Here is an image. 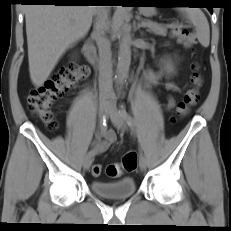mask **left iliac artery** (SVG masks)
<instances>
[{"label":"left iliac artery","mask_w":231,"mask_h":231,"mask_svg":"<svg viewBox=\"0 0 231 231\" xmlns=\"http://www.w3.org/2000/svg\"><path fill=\"white\" fill-rule=\"evenodd\" d=\"M119 113L121 114V116L124 118V120L126 121V123L128 124V126L133 127L135 125L134 120L132 119V117L127 113L125 106L122 104L120 106V110Z\"/></svg>","instance_id":"left-iliac-artery-1"}]
</instances>
